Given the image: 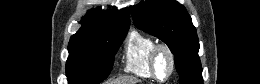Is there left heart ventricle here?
<instances>
[{
    "label": "left heart ventricle",
    "instance_id": "left-heart-ventricle-1",
    "mask_svg": "<svg viewBox=\"0 0 260 84\" xmlns=\"http://www.w3.org/2000/svg\"><path fill=\"white\" fill-rule=\"evenodd\" d=\"M169 70V60L165 54L159 56L157 61V73L159 77L163 78Z\"/></svg>",
    "mask_w": 260,
    "mask_h": 84
}]
</instances>
